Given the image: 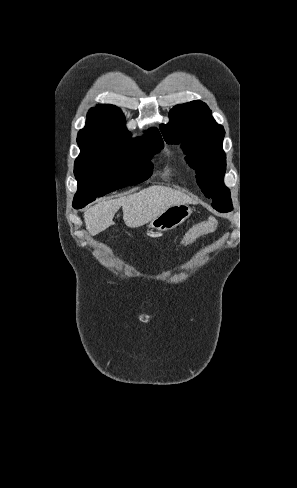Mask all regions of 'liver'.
Returning a JSON list of instances; mask_svg holds the SVG:
<instances>
[{"mask_svg":"<svg viewBox=\"0 0 297 488\" xmlns=\"http://www.w3.org/2000/svg\"><path fill=\"white\" fill-rule=\"evenodd\" d=\"M192 199L185 193L165 186H150L137 193L99 202L84 213L86 229L96 235L113 225V218L120 207L128 227L137 228L150 222L170 206L188 204Z\"/></svg>","mask_w":297,"mask_h":488,"instance_id":"obj_1","label":"liver"}]
</instances>
